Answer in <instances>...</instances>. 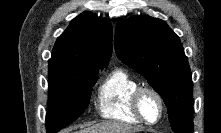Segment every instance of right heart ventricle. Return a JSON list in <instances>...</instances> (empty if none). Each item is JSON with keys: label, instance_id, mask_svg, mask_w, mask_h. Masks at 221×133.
I'll return each instance as SVG.
<instances>
[{"label": "right heart ventricle", "instance_id": "right-heart-ventricle-1", "mask_svg": "<svg viewBox=\"0 0 221 133\" xmlns=\"http://www.w3.org/2000/svg\"><path fill=\"white\" fill-rule=\"evenodd\" d=\"M140 86V82L125 69L110 72L98 88L97 108L100 115L118 122L140 123L131 107L132 95Z\"/></svg>", "mask_w": 221, "mask_h": 133}]
</instances>
